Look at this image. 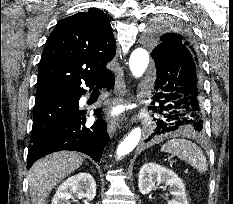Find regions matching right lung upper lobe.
Wrapping results in <instances>:
<instances>
[{
	"label": "right lung upper lobe",
	"instance_id": "cb5924a9",
	"mask_svg": "<svg viewBox=\"0 0 233 204\" xmlns=\"http://www.w3.org/2000/svg\"><path fill=\"white\" fill-rule=\"evenodd\" d=\"M116 54V43L107 16L90 8L63 19L46 43L38 69L36 102L84 93L81 84L93 87L111 73L105 65Z\"/></svg>",
	"mask_w": 233,
	"mask_h": 204
}]
</instances>
